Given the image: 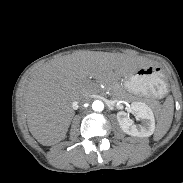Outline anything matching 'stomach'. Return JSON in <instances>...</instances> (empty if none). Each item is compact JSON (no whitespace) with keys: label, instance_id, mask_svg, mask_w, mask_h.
I'll use <instances>...</instances> for the list:
<instances>
[{"label":"stomach","instance_id":"1","mask_svg":"<svg viewBox=\"0 0 183 183\" xmlns=\"http://www.w3.org/2000/svg\"><path fill=\"white\" fill-rule=\"evenodd\" d=\"M122 86L125 90L144 97H161L166 83L161 71L145 66L125 77Z\"/></svg>","mask_w":183,"mask_h":183}]
</instances>
